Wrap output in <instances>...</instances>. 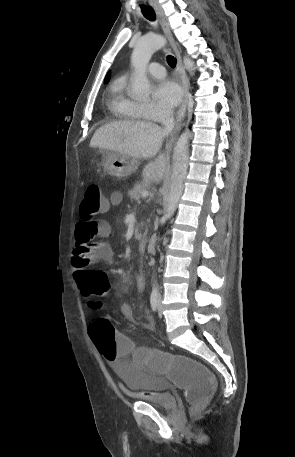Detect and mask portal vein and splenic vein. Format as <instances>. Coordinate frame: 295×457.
Returning a JSON list of instances; mask_svg holds the SVG:
<instances>
[{"instance_id": "1", "label": "portal vein and splenic vein", "mask_w": 295, "mask_h": 457, "mask_svg": "<svg viewBox=\"0 0 295 457\" xmlns=\"http://www.w3.org/2000/svg\"><path fill=\"white\" fill-rule=\"evenodd\" d=\"M148 195H149L148 191H143L142 194H141V196L143 198L147 197Z\"/></svg>"}]
</instances>
